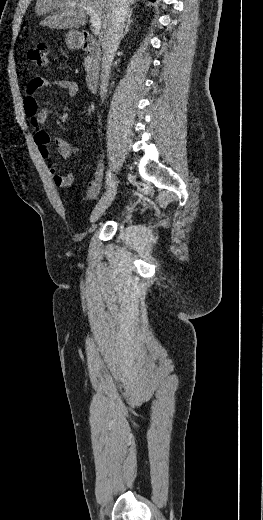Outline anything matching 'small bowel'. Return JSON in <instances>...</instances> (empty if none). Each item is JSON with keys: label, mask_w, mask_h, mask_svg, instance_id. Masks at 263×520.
<instances>
[{"label": "small bowel", "mask_w": 263, "mask_h": 520, "mask_svg": "<svg viewBox=\"0 0 263 520\" xmlns=\"http://www.w3.org/2000/svg\"><path fill=\"white\" fill-rule=\"evenodd\" d=\"M57 87L64 90L69 96H75L78 93L77 84L70 80H48L43 77H35L30 79L25 85V99L24 110L27 117L31 119L32 136L41 157L48 161V169L51 173L54 184L59 188H68L73 183L71 174H62L50 160L51 155L49 151V143L51 141L50 134L43 129L42 125L48 117L47 108H39L36 98L37 92L42 87ZM54 142L59 155L63 158H68L81 150V147L87 143L84 139L80 145L76 146L61 138H54ZM104 177V165L102 161H96V167L91 180L87 187V197L93 198L96 196L101 188Z\"/></svg>", "instance_id": "obj_1"}]
</instances>
